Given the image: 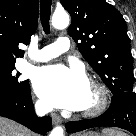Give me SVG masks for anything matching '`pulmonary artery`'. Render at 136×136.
I'll return each mask as SVG.
<instances>
[{"label": "pulmonary artery", "mask_w": 136, "mask_h": 136, "mask_svg": "<svg viewBox=\"0 0 136 136\" xmlns=\"http://www.w3.org/2000/svg\"><path fill=\"white\" fill-rule=\"evenodd\" d=\"M69 47V39L67 37H60L56 42L38 50L34 58L36 61H47L64 53Z\"/></svg>", "instance_id": "e3ab8cb5"}]
</instances>
